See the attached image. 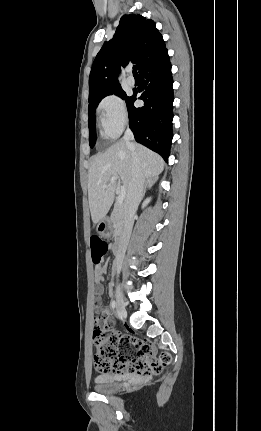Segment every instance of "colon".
Masks as SVG:
<instances>
[{
    "mask_svg": "<svg viewBox=\"0 0 261 431\" xmlns=\"http://www.w3.org/2000/svg\"><path fill=\"white\" fill-rule=\"evenodd\" d=\"M92 261L98 266L108 251V243L98 236L91 240ZM93 332L94 362L99 371L132 373L141 377L159 374L172 362L168 352L156 355L153 345L129 335L118 332H105L101 320L96 318Z\"/></svg>",
    "mask_w": 261,
    "mask_h": 431,
    "instance_id": "obj_1",
    "label": "colon"
}]
</instances>
